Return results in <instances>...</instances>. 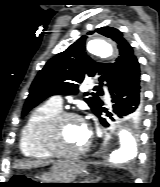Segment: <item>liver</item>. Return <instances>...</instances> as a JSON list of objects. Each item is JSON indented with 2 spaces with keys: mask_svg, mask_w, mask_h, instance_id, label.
I'll return each instance as SVG.
<instances>
[{
  "mask_svg": "<svg viewBox=\"0 0 160 187\" xmlns=\"http://www.w3.org/2000/svg\"><path fill=\"white\" fill-rule=\"evenodd\" d=\"M44 164H47V163L39 162V161H24V162L17 164L15 167L21 168V169H27V168L30 169L32 167H38Z\"/></svg>",
  "mask_w": 160,
  "mask_h": 187,
  "instance_id": "obj_1",
  "label": "liver"
}]
</instances>
